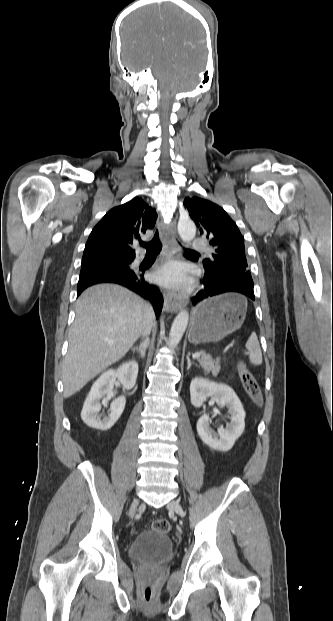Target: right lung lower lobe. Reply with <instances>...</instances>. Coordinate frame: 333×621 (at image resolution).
Segmentation results:
<instances>
[{"label": "right lung lower lobe", "mask_w": 333, "mask_h": 621, "mask_svg": "<svg viewBox=\"0 0 333 621\" xmlns=\"http://www.w3.org/2000/svg\"><path fill=\"white\" fill-rule=\"evenodd\" d=\"M115 265L111 263H100L83 266L77 286V296L87 287L98 283H116L127 287L135 293L149 300L158 318L163 305V297L159 289L145 281L144 275L133 271L130 264ZM144 271L145 269L140 268Z\"/></svg>", "instance_id": "1"}]
</instances>
